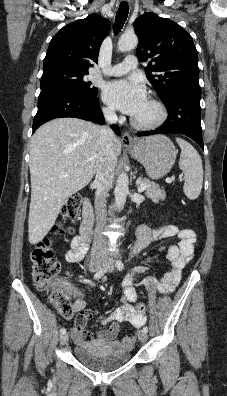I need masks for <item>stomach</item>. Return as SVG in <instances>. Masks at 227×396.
I'll use <instances>...</instances> for the list:
<instances>
[{
  "label": "stomach",
  "mask_w": 227,
  "mask_h": 396,
  "mask_svg": "<svg viewBox=\"0 0 227 396\" xmlns=\"http://www.w3.org/2000/svg\"><path fill=\"white\" fill-rule=\"evenodd\" d=\"M133 158L139 161L152 179L165 176L173 167L176 160V150L169 138L155 135L137 140L129 146Z\"/></svg>",
  "instance_id": "0dacf381"
}]
</instances>
